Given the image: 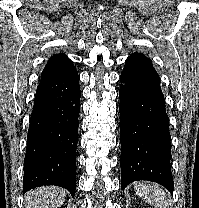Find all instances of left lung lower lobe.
Masks as SVG:
<instances>
[{"label": "left lung lower lobe", "mask_w": 199, "mask_h": 208, "mask_svg": "<svg viewBox=\"0 0 199 208\" xmlns=\"http://www.w3.org/2000/svg\"><path fill=\"white\" fill-rule=\"evenodd\" d=\"M120 81L121 186L149 180L172 192L169 119L160 78L151 62L132 54Z\"/></svg>", "instance_id": "left-lung-lower-lobe-1"}]
</instances>
